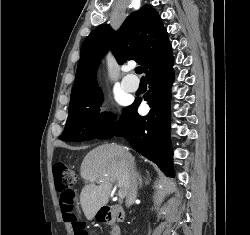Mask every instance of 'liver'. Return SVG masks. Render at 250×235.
I'll return each mask as SVG.
<instances>
[{
  "label": "liver",
  "mask_w": 250,
  "mask_h": 235,
  "mask_svg": "<svg viewBox=\"0 0 250 235\" xmlns=\"http://www.w3.org/2000/svg\"><path fill=\"white\" fill-rule=\"evenodd\" d=\"M122 148L114 144L98 146L85 156L81 164V177L89 184L81 191L80 203L88 220H92L109 202L113 182L117 181L119 187L128 192L129 164L122 157Z\"/></svg>",
  "instance_id": "obj_1"
}]
</instances>
